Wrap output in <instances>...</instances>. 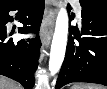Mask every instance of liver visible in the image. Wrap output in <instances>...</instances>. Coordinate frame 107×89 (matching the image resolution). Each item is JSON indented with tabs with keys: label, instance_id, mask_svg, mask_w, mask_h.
I'll return each instance as SVG.
<instances>
[{
	"label": "liver",
	"instance_id": "liver-1",
	"mask_svg": "<svg viewBox=\"0 0 107 89\" xmlns=\"http://www.w3.org/2000/svg\"><path fill=\"white\" fill-rule=\"evenodd\" d=\"M0 89H21L14 81L1 77Z\"/></svg>",
	"mask_w": 107,
	"mask_h": 89
}]
</instances>
